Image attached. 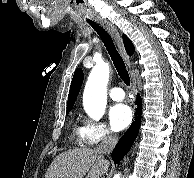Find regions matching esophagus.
Segmentation results:
<instances>
[{"label":"esophagus","instance_id":"esophagus-1","mask_svg":"<svg viewBox=\"0 0 194 178\" xmlns=\"http://www.w3.org/2000/svg\"><path fill=\"white\" fill-rule=\"evenodd\" d=\"M100 23L104 28H106L108 30V32L111 34V36L115 39L117 46L120 50V53L122 54L127 66L130 69L133 86L135 87V84H136L135 76H134L133 71L131 70V63H130V60L125 52V48H124L122 37H121L120 33L118 32L117 28L113 24H111L110 22L102 21Z\"/></svg>","mask_w":194,"mask_h":178}]
</instances>
